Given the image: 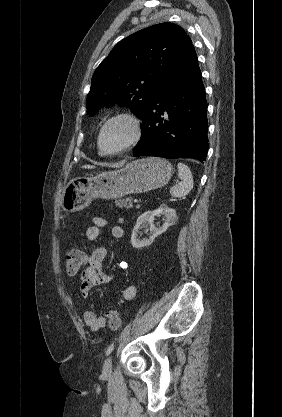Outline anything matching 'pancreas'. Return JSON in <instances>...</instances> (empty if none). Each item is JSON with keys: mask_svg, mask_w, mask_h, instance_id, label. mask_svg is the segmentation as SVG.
<instances>
[{"mask_svg": "<svg viewBox=\"0 0 282 417\" xmlns=\"http://www.w3.org/2000/svg\"><path fill=\"white\" fill-rule=\"evenodd\" d=\"M117 206H120V209H133V202H132V196H127V198H118V200H115Z\"/></svg>", "mask_w": 282, "mask_h": 417, "instance_id": "1", "label": "pancreas"}]
</instances>
